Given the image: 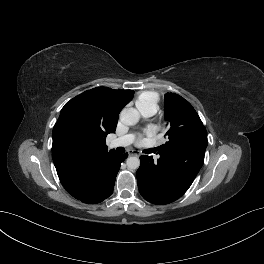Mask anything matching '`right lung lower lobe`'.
<instances>
[{
  "label": "right lung lower lobe",
  "instance_id": "98d812e1",
  "mask_svg": "<svg viewBox=\"0 0 264 264\" xmlns=\"http://www.w3.org/2000/svg\"><path fill=\"white\" fill-rule=\"evenodd\" d=\"M127 156V153L119 154L115 150L109 151L95 163L84 168L79 183L74 189L66 190L84 203L102 202L112 194L120 165Z\"/></svg>",
  "mask_w": 264,
  "mask_h": 264
}]
</instances>
